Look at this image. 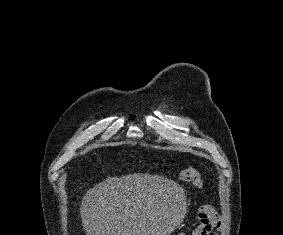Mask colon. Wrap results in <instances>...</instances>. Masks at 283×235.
Listing matches in <instances>:
<instances>
[{"instance_id": "obj_1", "label": "colon", "mask_w": 283, "mask_h": 235, "mask_svg": "<svg viewBox=\"0 0 283 235\" xmlns=\"http://www.w3.org/2000/svg\"><path fill=\"white\" fill-rule=\"evenodd\" d=\"M180 177L183 181L191 183L197 187H201L203 180L201 174L194 168L188 167L181 171Z\"/></svg>"}]
</instances>
